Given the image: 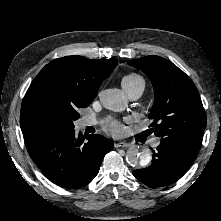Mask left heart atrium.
<instances>
[{
  "label": "left heart atrium",
  "mask_w": 221,
  "mask_h": 221,
  "mask_svg": "<svg viewBox=\"0 0 221 221\" xmlns=\"http://www.w3.org/2000/svg\"><path fill=\"white\" fill-rule=\"evenodd\" d=\"M106 129L114 135H120L123 132V128L118 122L109 123Z\"/></svg>",
  "instance_id": "1"
}]
</instances>
